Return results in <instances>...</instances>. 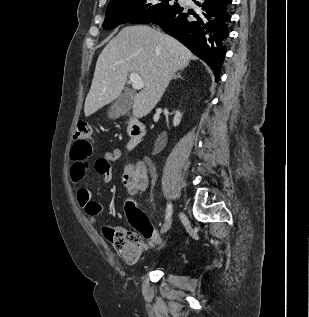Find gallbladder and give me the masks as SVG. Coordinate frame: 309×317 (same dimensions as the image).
Returning <instances> with one entry per match:
<instances>
[{
	"instance_id": "bac80fb5",
	"label": "gallbladder",
	"mask_w": 309,
	"mask_h": 317,
	"mask_svg": "<svg viewBox=\"0 0 309 317\" xmlns=\"http://www.w3.org/2000/svg\"><path fill=\"white\" fill-rule=\"evenodd\" d=\"M132 105V96L128 93L125 92L121 94L118 99L113 103L109 110V117L110 118H118L121 115H123L127 110L130 109Z\"/></svg>"
}]
</instances>
